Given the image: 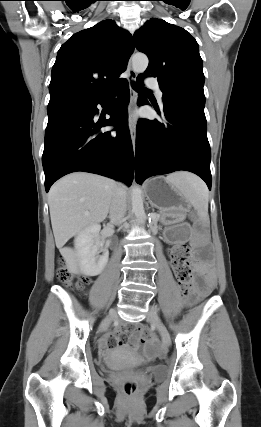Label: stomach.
Returning a JSON list of instances; mask_svg holds the SVG:
<instances>
[{
    "label": "stomach",
    "mask_w": 261,
    "mask_h": 427,
    "mask_svg": "<svg viewBox=\"0 0 261 427\" xmlns=\"http://www.w3.org/2000/svg\"><path fill=\"white\" fill-rule=\"evenodd\" d=\"M145 192L149 202L158 208L164 217L178 221L184 219L189 202L175 183L167 178H152L146 182Z\"/></svg>",
    "instance_id": "1"
}]
</instances>
